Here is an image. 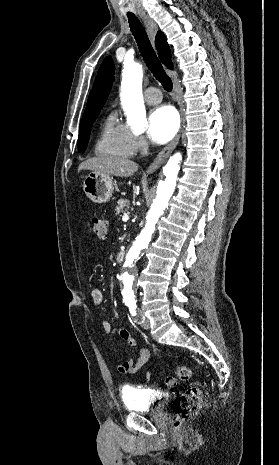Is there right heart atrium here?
I'll return each instance as SVG.
<instances>
[{
    "label": "right heart atrium",
    "mask_w": 279,
    "mask_h": 465,
    "mask_svg": "<svg viewBox=\"0 0 279 465\" xmlns=\"http://www.w3.org/2000/svg\"><path fill=\"white\" fill-rule=\"evenodd\" d=\"M131 135H132V144H133V148L135 152L141 151L146 148L147 143L142 135L136 134V133H131Z\"/></svg>",
    "instance_id": "obj_1"
}]
</instances>
